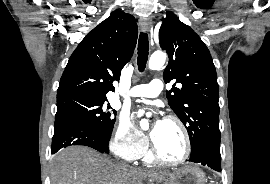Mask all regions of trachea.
I'll return each instance as SVG.
<instances>
[{"instance_id":"trachea-1","label":"trachea","mask_w":270,"mask_h":184,"mask_svg":"<svg viewBox=\"0 0 270 184\" xmlns=\"http://www.w3.org/2000/svg\"><path fill=\"white\" fill-rule=\"evenodd\" d=\"M148 50H149L148 35L147 33H140L138 41V58H137L140 72H143L146 67L149 54Z\"/></svg>"}]
</instances>
